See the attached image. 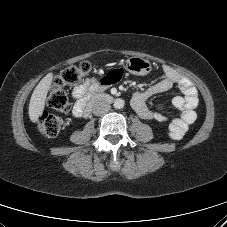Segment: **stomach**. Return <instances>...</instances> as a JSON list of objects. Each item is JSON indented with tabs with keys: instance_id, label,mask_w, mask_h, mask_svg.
<instances>
[{
	"instance_id": "stomach-1",
	"label": "stomach",
	"mask_w": 227,
	"mask_h": 227,
	"mask_svg": "<svg viewBox=\"0 0 227 227\" xmlns=\"http://www.w3.org/2000/svg\"><path fill=\"white\" fill-rule=\"evenodd\" d=\"M126 69L133 75L144 76L150 73L152 64L147 59L139 56H132L126 61Z\"/></svg>"
}]
</instances>
